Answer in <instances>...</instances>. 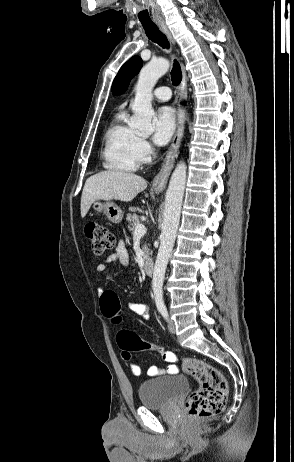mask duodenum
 Wrapping results in <instances>:
<instances>
[{"label":"duodenum","mask_w":294,"mask_h":462,"mask_svg":"<svg viewBox=\"0 0 294 462\" xmlns=\"http://www.w3.org/2000/svg\"><path fill=\"white\" fill-rule=\"evenodd\" d=\"M143 268L146 274H152L154 270V261L151 257L144 259Z\"/></svg>","instance_id":"obj_1"}]
</instances>
